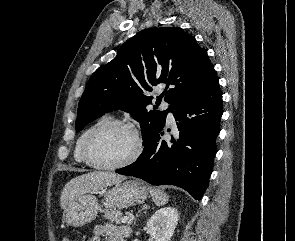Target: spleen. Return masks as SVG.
<instances>
[{
    "instance_id": "spleen-1",
    "label": "spleen",
    "mask_w": 295,
    "mask_h": 241,
    "mask_svg": "<svg viewBox=\"0 0 295 241\" xmlns=\"http://www.w3.org/2000/svg\"><path fill=\"white\" fill-rule=\"evenodd\" d=\"M150 195L157 206H162L168 202V195L160 189L149 188Z\"/></svg>"
}]
</instances>
